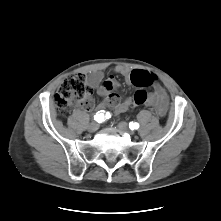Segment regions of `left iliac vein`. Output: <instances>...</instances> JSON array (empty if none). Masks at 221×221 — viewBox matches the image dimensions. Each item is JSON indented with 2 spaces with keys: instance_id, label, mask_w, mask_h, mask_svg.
Wrapping results in <instances>:
<instances>
[{
  "instance_id": "1",
  "label": "left iliac vein",
  "mask_w": 221,
  "mask_h": 221,
  "mask_svg": "<svg viewBox=\"0 0 221 221\" xmlns=\"http://www.w3.org/2000/svg\"><path fill=\"white\" fill-rule=\"evenodd\" d=\"M118 128H119L121 131L126 132V133H128V134H130V135H133V134H134V132L128 128V125H127V123H125V122H120V123H118Z\"/></svg>"
}]
</instances>
